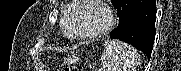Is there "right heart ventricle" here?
Segmentation results:
<instances>
[{
	"instance_id": "obj_1",
	"label": "right heart ventricle",
	"mask_w": 181,
	"mask_h": 71,
	"mask_svg": "<svg viewBox=\"0 0 181 71\" xmlns=\"http://www.w3.org/2000/svg\"><path fill=\"white\" fill-rule=\"evenodd\" d=\"M77 3L76 2H71L69 6L65 10L64 18H63V23H62V30L64 34L70 38H73V34L70 28V23L72 20V16L77 8Z\"/></svg>"
}]
</instances>
